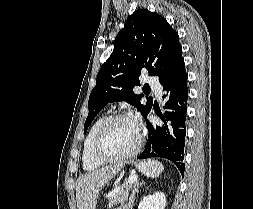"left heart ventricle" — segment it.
I'll return each mask as SVG.
<instances>
[{
	"label": "left heart ventricle",
	"instance_id": "b2bd125f",
	"mask_svg": "<svg viewBox=\"0 0 253 209\" xmlns=\"http://www.w3.org/2000/svg\"><path fill=\"white\" fill-rule=\"evenodd\" d=\"M137 134V126L132 120H117L107 128L101 143V152L110 157L122 156L135 146Z\"/></svg>",
	"mask_w": 253,
	"mask_h": 209
}]
</instances>
